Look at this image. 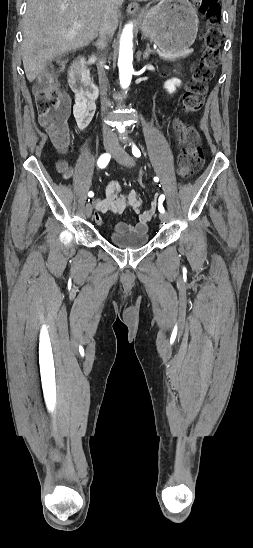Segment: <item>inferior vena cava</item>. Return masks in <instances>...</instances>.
<instances>
[{"label":"inferior vena cava","instance_id":"1","mask_svg":"<svg viewBox=\"0 0 253 548\" xmlns=\"http://www.w3.org/2000/svg\"><path fill=\"white\" fill-rule=\"evenodd\" d=\"M104 2H105V11H104L103 19L99 28L98 42L100 43V45L104 44L105 45L104 48H105L107 45V41L109 39H112L114 35V31H115L114 19L116 17L119 7L122 5L124 0H105ZM104 65H105V59L101 58L97 64V68H98V75H99V85L101 89V105H102V109L106 110L110 103L107 99L108 79L106 77ZM102 120L104 121L103 124L106 126L108 124L106 122L107 119L104 117ZM103 137L105 140L117 139V136L114 130L108 127L103 128Z\"/></svg>","mask_w":253,"mask_h":548}]
</instances>
